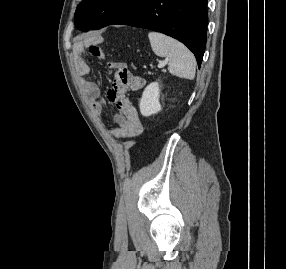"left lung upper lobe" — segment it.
Listing matches in <instances>:
<instances>
[{"label":"left lung upper lobe","mask_w":286,"mask_h":269,"mask_svg":"<svg viewBox=\"0 0 286 269\" xmlns=\"http://www.w3.org/2000/svg\"><path fill=\"white\" fill-rule=\"evenodd\" d=\"M143 0H83L75 12V26L82 31L111 25L134 10Z\"/></svg>","instance_id":"5c2ea615"}]
</instances>
